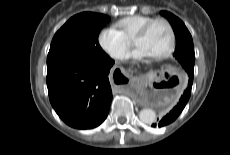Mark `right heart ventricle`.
Masks as SVG:
<instances>
[{
	"instance_id": "1",
	"label": "right heart ventricle",
	"mask_w": 230,
	"mask_h": 155,
	"mask_svg": "<svg viewBox=\"0 0 230 155\" xmlns=\"http://www.w3.org/2000/svg\"><path fill=\"white\" fill-rule=\"evenodd\" d=\"M153 19L151 16L133 15L120 19L115 25L128 40H132L138 31Z\"/></svg>"
}]
</instances>
